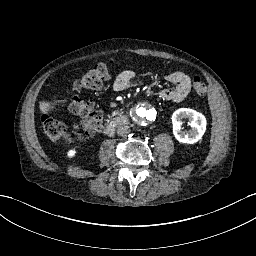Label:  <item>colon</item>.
<instances>
[{
    "label": "colon",
    "instance_id": "obj_1",
    "mask_svg": "<svg viewBox=\"0 0 256 256\" xmlns=\"http://www.w3.org/2000/svg\"><path fill=\"white\" fill-rule=\"evenodd\" d=\"M110 77L108 63H97L86 72L75 84L77 91L93 90L99 88ZM195 95L203 97L207 92V85L198 74L191 76ZM72 114L80 117V120L71 128L62 120L51 114H44L41 118L45 134L54 142H70L73 139H82L99 129L102 124V116L94 108L90 101L80 98L72 100L69 104Z\"/></svg>",
    "mask_w": 256,
    "mask_h": 256
}]
</instances>
